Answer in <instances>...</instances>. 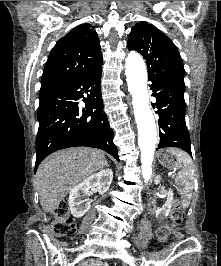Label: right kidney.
Wrapping results in <instances>:
<instances>
[{
  "mask_svg": "<svg viewBox=\"0 0 221 266\" xmlns=\"http://www.w3.org/2000/svg\"><path fill=\"white\" fill-rule=\"evenodd\" d=\"M112 180L113 172L110 169H105L89 176L72 188L68 200L72 215L75 218L82 217L91 207L89 199L84 198L89 195V190L96 188L99 193H105Z\"/></svg>",
  "mask_w": 221,
  "mask_h": 266,
  "instance_id": "ca27d5eb",
  "label": "right kidney"
}]
</instances>
